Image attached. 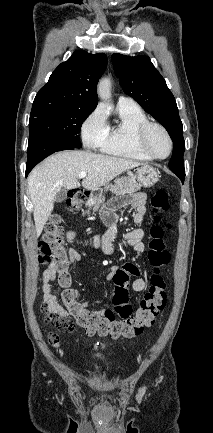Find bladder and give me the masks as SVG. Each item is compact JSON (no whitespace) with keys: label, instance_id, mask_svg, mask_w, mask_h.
<instances>
[{"label":"bladder","instance_id":"31cf9c89","mask_svg":"<svg viewBox=\"0 0 213 433\" xmlns=\"http://www.w3.org/2000/svg\"><path fill=\"white\" fill-rule=\"evenodd\" d=\"M104 351H105V347H102V348L97 352V357H99V358H103V357H104Z\"/></svg>","mask_w":213,"mask_h":433}]
</instances>
